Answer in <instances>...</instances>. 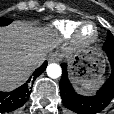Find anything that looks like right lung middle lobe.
<instances>
[{
    "instance_id": "dd1d6c3e",
    "label": "right lung middle lobe",
    "mask_w": 114,
    "mask_h": 114,
    "mask_svg": "<svg viewBox=\"0 0 114 114\" xmlns=\"http://www.w3.org/2000/svg\"><path fill=\"white\" fill-rule=\"evenodd\" d=\"M12 20L6 18H0V26L8 25Z\"/></svg>"
}]
</instances>
